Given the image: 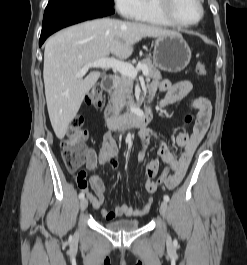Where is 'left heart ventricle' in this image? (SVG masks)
<instances>
[{
	"label": "left heart ventricle",
	"instance_id": "1",
	"mask_svg": "<svg viewBox=\"0 0 247 265\" xmlns=\"http://www.w3.org/2000/svg\"><path fill=\"white\" fill-rule=\"evenodd\" d=\"M173 12L180 21L191 23L199 18L200 7L197 0H175Z\"/></svg>",
	"mask_w": 247,
	"mask_h": 265
}]
</instances>
